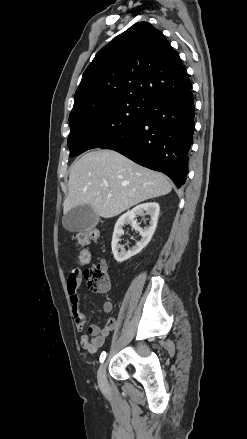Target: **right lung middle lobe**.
<instances>
[{
  "mask_svg": "<svg viewBox=\"0 0 247 439\" xmlns=\"http://www.w3.org/2000/svg\"><path fill=\"white\" fill-rule=\"evenodd\" d=\"M145 103L131 100L102 104L69 117L70 156H77L92 148H107L143 118Z\"/></svg>",
  "mask_w": 247,
  "mask_h": 439,
  "instance_id": "obj_1",
  "label": "right lung middle lobe"
}]
</instances>
